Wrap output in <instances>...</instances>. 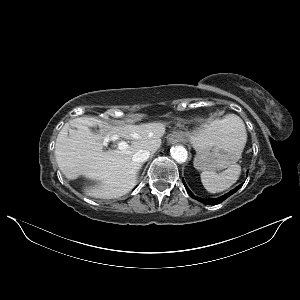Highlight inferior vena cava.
Returning a JSON list of instances; mask_svg holds the SVG:
<instances>
[{"label": "inferior vena cava", "mask_w": 300, "mask_h": 300, "mask_svg": "<svg viewBox=\"0 0 300 300\" xmlns=\"http://www.w3.org/2000/svg\"><path fill=\"white\" fill-rule=\"evenodd\" d=\"M149 156L150 152L148 150L141 149L133 155L132 160L137 164H141L147 161Z\"/></svg>", "instance_id": "inferior-vena-cava-1"}]
</instances>
